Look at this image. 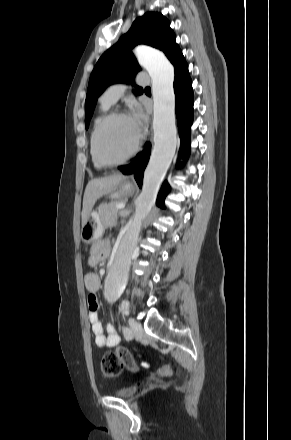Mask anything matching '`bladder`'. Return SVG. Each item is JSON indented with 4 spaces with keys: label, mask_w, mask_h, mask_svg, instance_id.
Masks as SVG:
<instances>
[{
    "label": "bladder",
    "mask_w": 291,
    "mask_h": 440,
    "mask_svg": "<svg viewBox=\"0 0 291 440\" xmlns=\"http://www.w3.org/2000/svg\"><path fill=\"white\" fill-rule=\"evenodd\" d=\"M136 392V388L134 386L124 387L115 392V395L119 398L126 399L131 397Z\"/></svg>",
    "instance_id": "1"
}]
</instances>
